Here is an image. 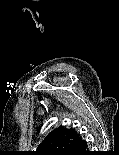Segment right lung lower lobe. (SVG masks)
<instances>
[{
	"label": "right lung lower lobe",
	"instance_id": "obj_1",
	"mask_svg": "<svg viewBox=\"0 0 119 155\" xmlns=\"http://www.w3.org/2000/svg\"><path fill=\"white\" fill-rule=\"evenodd\" d=\"M87 150V142L85 140H80L74 145H72L64 155H89Z\"/></svg>",
	"mask_w": 119,
	"mask_h": 155
}]
</instances>
